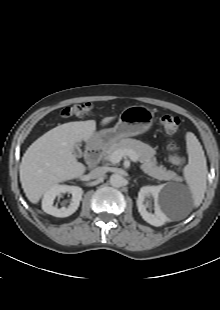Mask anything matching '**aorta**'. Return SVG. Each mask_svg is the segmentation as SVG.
I'll list each match as a JSON object with an SVG mask.
<instances>
[{
	"instance_id": "762f6f07",
	"label": "aorta",
	"mask_w": 220,
	"mask_h": 310,
	"mask_svg": "<svg viewBox=\"0 0 220 310\" xmlns=\"http://www.w3.org/2000/svg\"><path fill=\"white\" fill-rule=\"evenodd\" d=\"M124 182H125L124 177L119 174H112L110 176V184L113 187H116V188L122 187L124 186Z\"/></svg>"
}]
</instances>
